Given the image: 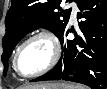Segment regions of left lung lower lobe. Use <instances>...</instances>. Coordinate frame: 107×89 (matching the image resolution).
<instances>
[{
  "instance_id": "left-lung-lower-lobe-1",
  "label": "left lung lower lobe",
  "mask_w": 107,
  "mask_h": 89,
  "mask_svg": "<svg viewBox=\"0 0 107 89\" xmlns=\"http://www.w3.org/2000/svg\"><path fill=\"white\" fill-rule=\"evenodd\" d=\"M77 18L80 35L66 40L70 32L60 36L63 49L57 65L48 73L31 80H66L82 83L92 89L107 86V0H79ZM73 31V29H71Z\"/></svg>"
}]
</instances>
